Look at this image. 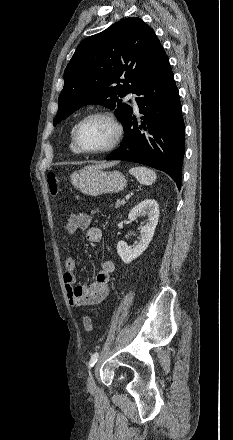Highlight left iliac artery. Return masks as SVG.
<instances>
[{
	"label": "left iliac artery",
	"instance_id": "44dca946",
	"mask_svg": "<svg viewBox=\"0 0 233 440\" xmlns=\"http://www.w3.org/2000/svg\"><path fill=\"white\" fill-rule=\"evenodd\" d=\"M98 357H99V353H98V352H95V353L91 356V359H90V361H89V367H93V366L95 365V363H96L97 360H98Z\"/></svg>",
	"mask_w": 233,
	"mask_h": 440
}]
</instances>
